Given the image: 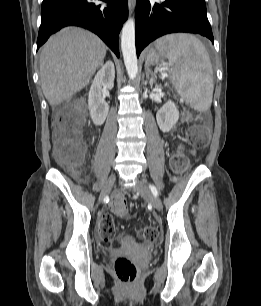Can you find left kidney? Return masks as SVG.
I'll list each match as a JSON object with an SVG mask.
<instances>
[{
  "label": "left kidney",
  "mask_w": 261,
  "mask_h": 306,
  "mask_svg": "<svg viewBox=\"0 0 261 306\" xmlns=\"http://www.w3.org/2000/svg\"><path fill=\"white\" fill-rule=\"evenodd\" d=\"M179 119V111L175 103L169 100L156 114L157 124L164 133L173 129Z\"/></svg>",
  "instance_id": "obj_1"
}]
</instances>
